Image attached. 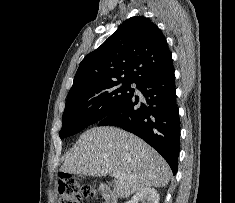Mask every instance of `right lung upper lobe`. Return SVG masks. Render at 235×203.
<instances>
[{
  "instance_id": "cb5924a9",
  "label": "right lung upper lobe",
  "mask_w": 235,
  "mask_h": 203,
  "mask_svg": "<svg viewBox=\"0 0 235 203\" xmlns=\"http://www.w3.org/2000/svg\"><path fill=\"white\" fill-rule=\"evenodd\" d=\"M171 63V52L159 28L144 16L131 17L81 61L69 93L106 81L137 83Z\"/></svg>"
}]
</instances>
